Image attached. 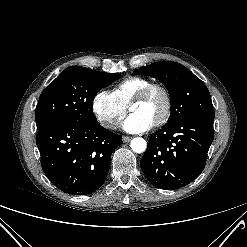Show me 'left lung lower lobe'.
Segmentation results:
<instances>
[{"label": "left lung lower lobe", "instance_id": "1", "mask_svg": "<svg viewBox=\"0 0 247 247\" xmlns=\"http://www.w3.org/2000/svg\"><path fill=\"white\" fill-rule=\"evenodd\" d=\"M213 141V121L187 117L149 136L140 166L151 184L178 189L203 171Z\"/></svg>", "mask_w": 247, "mask_h": 247}]
</instances>
